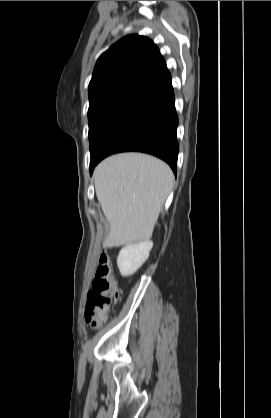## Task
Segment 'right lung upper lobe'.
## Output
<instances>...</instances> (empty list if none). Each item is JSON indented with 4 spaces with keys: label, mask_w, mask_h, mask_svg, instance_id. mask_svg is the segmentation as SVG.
Here are the masks:
<instances>
[{
    "label": "right lung upper lobe",
    "mask_w": 271,
    "mask_h": 418,
    "mask_svg": "<svg viewBox=\"0 0 271 418\" xmlns=\"http://www.w3.org/2000/svg\"><path fill=\"white\" fill-rule=\"evenodd\" d=\"M173 92L171 75L157 46L129 35L98 59L88 87L90 105L130 96L155 103Z\"/></svg>",
    "instance_id": "1"
}]
</instances>
